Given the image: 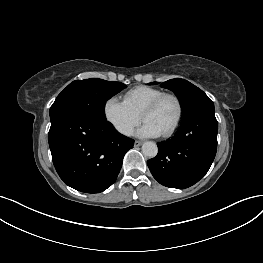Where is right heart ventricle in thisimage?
Here are the masks:
<instances>
[{
	"label": "right heart ventricle",
	"instance_id": "obj_1",
	"mask_svg": "<svg viewBox=\"0 0 263 263\" xmlns=\"http://www.w3.org/2000/svg\"><path fill=\"white\" fill-rule=\"evenodd\" d=\"M163 93L158 88L137 86L124 94V101L135 113L141 115L144 107Z\"/></svg>",
	"mask_w": 263,
	"mask_h": 263
}]
</instances>
